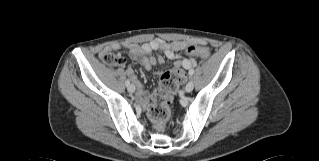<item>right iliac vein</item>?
Segmentation results:
<instances>
[{"instance_id": "63e3f726", "label": "right iliac vein", "mask_w": 319, "mask_h": 161, "mask_svg": "<svg viewBox=\"0 0 319 161\" xmlns=\"http://www.w3.org/2000/svg\"><path fill=\"white\" fill-rule=\"evenodd\" d=\"M128 91H129L130 93H134V92H135V87H134L133 84H131V85L128 86Z\"/></svg>"}]
</instances>
